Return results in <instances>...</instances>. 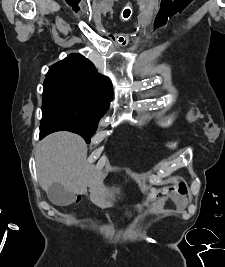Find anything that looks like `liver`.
<instances>
[{
    "mask_svg": "<svg viewBox=\"0 0 225 267\" xmlns=\"http://www.w3.org/2000/svg\"><path fill=\"white\" fill-rule=\"evenodd\" d=\"M87 145L73 133L61 131L50 134L39 142L35 161L37 175L43 190L60 183L72 194L90 191L91 201L98 206H111V194L103 186L100 174L86 162Z\"/></svg>",
    "mask_w": 225,
    "mask_h": 267,
    "instance_id": "liver-1",
    "label": "liver"
}]
</instances>
